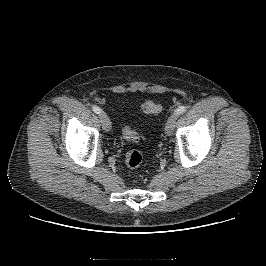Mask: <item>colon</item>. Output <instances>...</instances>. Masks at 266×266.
<instances>
[{
  "label": "colon",
  "mask_w": 266,
  "mask_h": 266,
  "mask_svg": "<svg viewBox=\"0 0 266 266\" xmlns=\"http://www.w3.org/2000/svg\"><path fill=\"white\" fill-rule=\"evenodd\" d=\"M141 110L148 115H157L160 110V104L153 99H146L140 105ZM123 136L129 140L136 142L142 139V136L129 127H124L122 130ZM142 154L138 150H131L126 155V165L130 169H136L142 163Z\"/></svg>",
  "instance_id": "5ec220e1"
}]
</instances>
